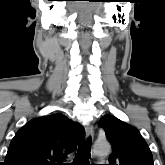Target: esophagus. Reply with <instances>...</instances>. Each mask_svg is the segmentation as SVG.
I'll use <instances>...</instances> for the list:
<instances>
[{"label": "esophagus", "instance_id": "esophagus-1", "mask_svg": "<svg viewBox=\"0 0 165 165\" xmlns=\"http://www.w3.org/2000/svg\"><path fill=\"white\" fill-rule=\"evenodd\" d=\"M85 132H86L87 137L93 136L94 135L93 126L91 124H86L85 125Z\"/></svg>", "mask_w": 165, "mask_h": 165}]
</instances>
